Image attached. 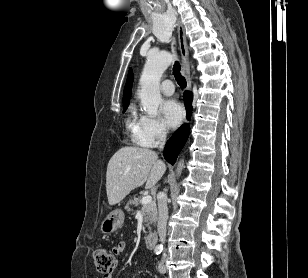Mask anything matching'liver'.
I'll use <instances>...</instances> for the list:
<instances>
[{
  "mask_svg": "<svg viewBox=\"0 0 308 278\" xmlns=\"http://www.w3.org/2000/svg\"><path fill=\"white\" fill-rule=\"evenodd\" d=\"M166 171V165L156 152L146 148L126 146L109 160L106 191L109 205L120 203L133 189L146 183L152 189Z\"/></svg>",
  "mask_w": 308,
  "mask_h": 278,
  "instance_id": "1",
  "label": "liver"
}]
</instances>
